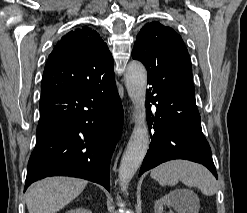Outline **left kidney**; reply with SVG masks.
<instances>
[{
	"label": "left kidney",
	"mask_w": 247,
	"mask_h": 213,
	"mask_svg": "<svg viewBox=\"0 0 247 213\" xmlns=\"http://www.w3.org/2000/svg\"><path fill=\"white\" fill-rule=\"evenodd\" d=\"M169 206L178 213H198L199 204L196 195L188 190H178L166 194L155 202V213H163V207Z\"/></svg>",
	"instance_id": "obj_1"
}]
</instances>
